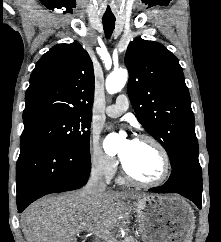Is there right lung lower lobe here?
I'll list each match as a JSON object with an SVG mask.
<instances>
[{
    "label": "right lung lower lobe",
    "mask_w": 221,
    "mask_h": 242,
    "mask_svg": "<svg viewBox=\"0 0 221 242\" xmlns=\"http://www.w3.org/2000/svg\"><path fill=\"white\" fill-rule=\"evenodd\" d=\"M90 170L89 149L47 138L21 139L16 164L18 212L44 195L84 186Z\"/></svg>",
    "instance_id": "right-lung-lower-lobe-1"
}]
</instances>
